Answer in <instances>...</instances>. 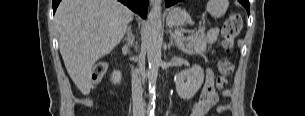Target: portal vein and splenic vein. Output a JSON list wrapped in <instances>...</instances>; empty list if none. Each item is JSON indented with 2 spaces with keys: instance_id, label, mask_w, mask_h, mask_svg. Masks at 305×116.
Wrapping results in <instances>:
<instances>
[{
  "instance_id": "18ae733b",
  "label": "portal vein and splenic vein",
  "mask_w": 305,
  "mask_h": 116,
  "mask_svg": "<svg viewBox=\"0 0 305 116\" xmlns=\"http://www.w3.org/2000/svg\"><path fill=\"white\" fill-rule=\"evenodd\" d=\"M203 30H204V28H201V29H200V31H203ZM174 35H175L178 39H180V38L183 37V35H182L180 32H176V33H174ZM179 43H180V45H183V42H182V41H180Z\"/></svg>"
}]
</instances>
